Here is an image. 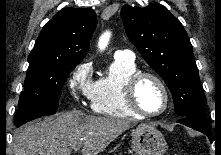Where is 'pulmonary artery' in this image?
<instances>
[{
  "instance_id": "e3ab8cb5",
  "label": "pulmonary artery",
  "mask_w": 221,
  "mask_h": 155,
  "mask_svg": "<svg viewBox=\"0 0 221 155\" xmlns=\"http://www.w3.org/2000/svg\"><path fill=\"white\" fill-rule=\"evenodd\" d=\"M115 59H124L129 61H134V53L130 50H118L114 55Z\"/></svg>"
}]
</instances>
